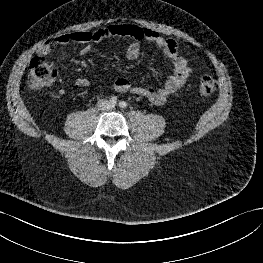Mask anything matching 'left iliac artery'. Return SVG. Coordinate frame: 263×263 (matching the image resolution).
Masks as SVG:
<instances>
[{"label": "left iliac artery", "mask_w": 263, "mask_h": 263, "mask_svg": "<svg viewBox=\"0 0 263 263\" xmlns=\"http://www.w3.org/2000/svg\"><path fill=\"white\" fill-rule=\"evenodd\" d=\"M126 106H127V104H126L125 101H120V102H119V107H120V108L124 109V108H126Z\"/></svg>", "instance_id": "obj_1"}]
</instances>
